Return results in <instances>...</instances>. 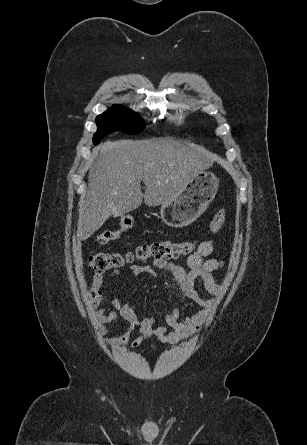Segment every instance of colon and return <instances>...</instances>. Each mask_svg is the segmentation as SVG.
I'll return each instance as SVG.
<instances>
[{"mask_svg": "<svg viewBox=\"0 0 307 445\" xmlns=\"http://www.w3.org/2000/svg\"><path fill=\"white\" fill-rule=\"evenodd\" d=\"M226 221V211L221 209L210 220L208 224V235L220 230ZM134 218L131 215L124 216L120 221L121 229H105L98 236L97 241L106 245L117 240L122 230L132 228ZM195 245L190 241L177 242L173 240H162L159 242L139 245L135 250L129 252H98L88 258V265L97 274L108 270L120 269L134 263H144L149 259H175L190 255L194 252ZM95 296L94 291L92 292Z\"/></svg>", "mask_w": 307, "mask_h": 445, "instance_id": "obj_1", "label": "colon"}]
</instances>
